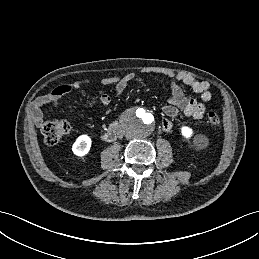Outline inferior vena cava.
Wrapping results in <instances>:
<instances>
[{"instance_id":"602c4592","label":"inferior vena cava","mask_w":259,"mask_h":259,"mask_svg":"<svg viewBox=\"0 0 259 259\" xmlns=\"http://www.w3.org/2000/svg\"><path fill=\"white\" fill-rule=\"evenodd\" d=\"M118 136L121 138V137H122V132H119V133H118Z\"/></svg>"}]
</instances>
